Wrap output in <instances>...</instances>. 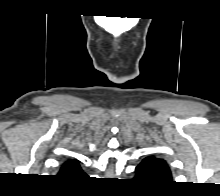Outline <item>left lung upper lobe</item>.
I'll use <instances>...</instances> for the list:
<instances>
[{
    "mask_svg": "<svg viewBox=\"0 0 220 196\" xmlns=\"http://www.w3.org/2000/svg\"><path fill=\"white\" fill-rule=\"evenodd\" d=\"M143 161H146L164 182H171L172 174L167 162L164 159H160L155 156H148Z\"/></svg>",
    "mask_w": 220,
    "mask_h": 196,
    "instance_id": "obj_1",
    "label": "left lung upper lobe"
}]
</instances>
